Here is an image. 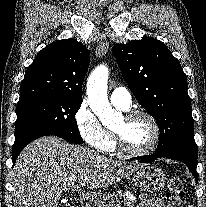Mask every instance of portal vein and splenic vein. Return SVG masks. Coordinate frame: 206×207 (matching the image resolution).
I'll use <instances>...</instances> for the list:
<instances>
[{"instance_id":"obj_1","label":"portal vein and splenic vein","mask_w":206,"mask_h":207,"mask_svg":"<svg viewBox=\"0 0 206 207\" xmlns=\"http://www.w3.org/2000/svg\"><path fill=\"white\" fill-rule=\"evenodd\" d=\"M83 185H84V183H82V184H80V185H76V186L73 188V191H80Z\"/></svg>"}]
</instances>
